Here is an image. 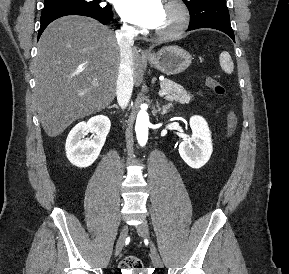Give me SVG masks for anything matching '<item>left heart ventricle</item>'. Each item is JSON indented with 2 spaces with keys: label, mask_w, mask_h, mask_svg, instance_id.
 I'll return each instance as SVG.
<instances>
[{
  "label": "left heart ventricle",
  "mask_w": 289,
  "mask_h": 274,
  "mask_svg": "<svg viewBox=\"0 0 289 274\" xmlns=\"http://www.w3.org/2000/svg\"><path fill=\"white\" fill-rule=\"evenodd\" d=\"M177 22V13L174 9L164 7L163 15L159 25L156 27L158 30L168 29Z\"/></svg>",
  "instance_id": "obj_1"
}]
</instances>
